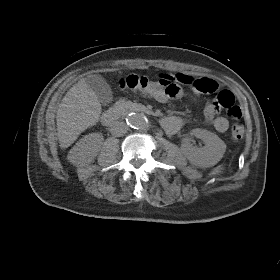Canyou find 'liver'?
Masks as SVG:
<instances>
[{
  "label": "liver",
  "instance_id": "obj_1",
  "mask_svg": "<svg viewBox=\"0 0 280 280\" xmlns=\"http://www.w3.org/2000/svg\"><path fill=\"white\" fill-rule=\"evenodd\" d=\"M101 114V104L95 92L81 79L70 88L57 111L58 139L62 148L69 147Z\"/></svg>",
  "mask_w": 280,
  "mask_h": 280
}]
</instances>
